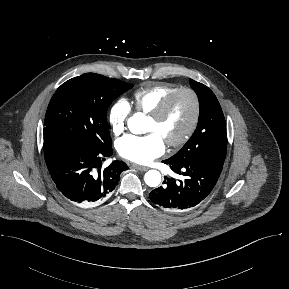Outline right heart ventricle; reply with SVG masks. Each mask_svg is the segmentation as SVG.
I'll return each mask as SVG.
<instances>
[{
	"label": "right heart ventricle",
	"mask_w": 289,
	"mask_h": 289,
	"mask_svg": "<svg viewBox=\"0 0 289 289\" xmlns=\"http://www.w3.org/2000/svg\"><path fill=\"white\" fill-rule=\"evenodd\" d=\"M179 87L169 83H152L137 89L133 94V104L137 111L149 114L162 100Z\"/></svg>",
	"instance_id": "1"
}]
</instances>
